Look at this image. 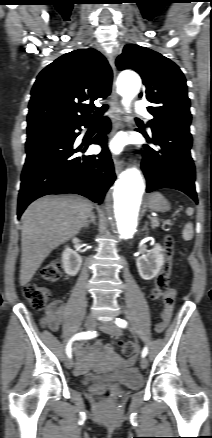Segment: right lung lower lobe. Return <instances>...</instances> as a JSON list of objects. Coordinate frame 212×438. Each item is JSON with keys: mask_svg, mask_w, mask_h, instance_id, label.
Instances as JSON below:
<instances>
[{"mask_svg": "<svg viewBox=\"0 0 212 438\" xmlns=\"http://www.w3.org/2000/svg\"><path fill=\"white\" fill-rule=\"evenodd\" d=\"M80 125L55 123L28 130L26 161L21 175L18 218L35 199L48 194L76 193L101 203L116 175L110 152L105 146L110 121L105 118L99 133L85 147H74ZM100 144L98 155L78 156L88 145Z\"/></svg>", "mask_w": 212, "mask_h": 438, "instance_id": "98d812e1", "label": "right lung lower lobe"}]
</instances>
